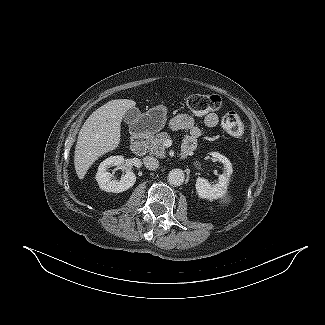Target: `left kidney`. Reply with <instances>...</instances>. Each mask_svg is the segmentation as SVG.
I'll return each instance as SVG.
<instances>
[{"label":"left kidney","mask_w":325,"mask_h":325,"mask_svg":"<svg viewBox=\"0 0 325 325\" xmlns=\"http://www.w3.org/2000/svg\"><path fill=\"white\" fill-rule=\"evenodd\" d=\"M212 157L218 159L224 165L223 174L219 175V182L211 185L206 179L198 177L196 180V191L200 198L208 200H217L227 193L230 176L233 172L232 164L227 157L218 152H212Z\"/></svg>","instance_id":"5707ae66"}]
</instances>
